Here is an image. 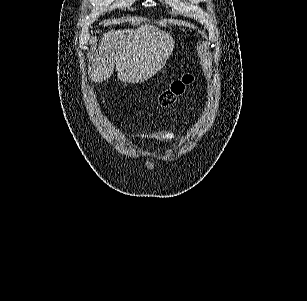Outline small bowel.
<instances>
[{
  "label": "small bowel",
  "mask_w": 307,
  "mask_h": 301,
  "mask_svg": "<svg viewBox=\"0 0 307 301\" xmlns=\"http://www.w3.org/2000/svg\"><path fill=\"white\" fill-rule=\"evenodd\" d=\"M156 135L159 137L160 140L167 142L175 137V131L173 128H163L159 129L156 132Z\"/></svg>",
  "instance_id": "c3829d8e"
}]
</instances>
